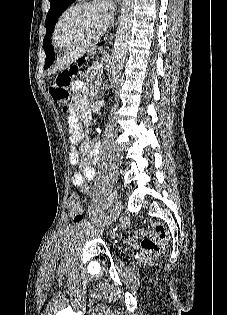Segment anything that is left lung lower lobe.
<instances>
[{
  "label": "left lung lower lobe",
  "mask_w": 227,
  "mask_h": 315,
  "mask_svg": "<svg viewBox=\"0 0 227 315\" xmlns=\"http://www.w3.org/2000/svg\"><path fill=\"white\" fill-rule=\"evenodd\" d=\"M102 44H103V42L98 44V45L100 46ZM46 56H47V61L45 63V68H48L52 64V62L54 61V58H55V54H54V51H53L52 47H50L48 49V52L46 53Z\"/></svg>",
  "instance_id": "1"
}]
</instances>
